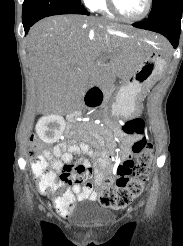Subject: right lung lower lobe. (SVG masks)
Listing matches in <instances>:
<instances>
[{"instance_id": "right-lung-lower-lobe-1", "label": "right lung lower lobe", "mask_w": 183, "mask_h": 246, "mask_svg": "<svg viewBox=\"0 0 183 246\" xmlns=\"http://www.w3.org/2000/svg\"><path fill=\"white\" fill-rule=\"evenodd\" d=\"M60 14H83L90 15V13L79 3H65L49 8H40L37 10H31L23 12L22 22L25 30V34L28 33L30 27L36 23L38 20Z\"/></svg>"}]
</instances>
